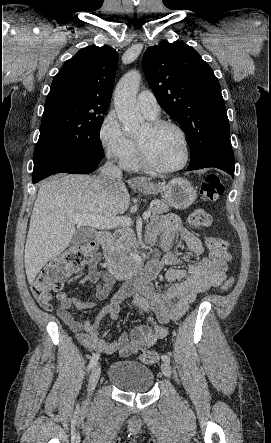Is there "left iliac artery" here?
Masks as SVG:
<instances>
[{"label": "left iliac artery", "instance_id": "1", "mask_svg": "<svg viewBox=\"0 0 271 443\" xmlns=\"http://www.w3.org/2000/svg\"><path fill=\"white\" fill-rule=\"evenodd\" d=\"M161 359H162V361H164V362H168V363L170 362V357L167 356V355H165V354L161 356Z\"/></svg>", "mask_w": 271, "mask_h": 443}]
</instances>
